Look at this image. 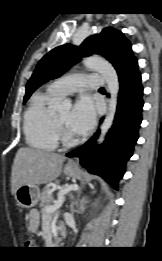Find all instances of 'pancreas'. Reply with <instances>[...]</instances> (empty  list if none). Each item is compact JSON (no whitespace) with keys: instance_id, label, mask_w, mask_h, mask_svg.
Instances as JSON below:
<instances>
[{"instance_id":"1","label":"pancreas","mask_w":162,"mask_h":261,"mask_svg":"<svg viewBox=\"0 0 162 261\" xmlns=\"http://www.w3.org/2000/svg\"><path fill=\"white\" fill-rule=\"evenodd\" d=\"M66 186H61V189H64ZM53 195H52V189L49 186H46L41 194V202H40V207H41V212L42 214L45 213V207L48 205H51L53 203Z\"/></svg>"}]
</instances>
